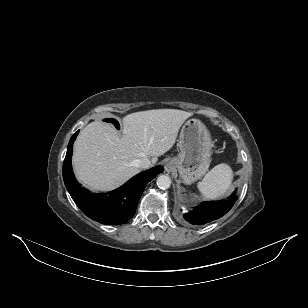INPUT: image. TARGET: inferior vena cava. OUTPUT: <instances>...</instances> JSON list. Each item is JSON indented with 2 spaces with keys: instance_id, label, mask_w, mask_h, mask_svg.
<instances>
[{
  "instance_id": "602c4592",
  "label": "inferior vena cava",
  "mask_w": 308,
  "mask_h": 308,
  "mask_svg": "<svg viewBox=\"0 0 308 308\" xmlns=\"http://www.w3.org/2000/svg\"><path fill=\"white\" fill-rule=\"evenodd\" d=\"M151 165V161L149 160V158H141L135 161V166L140 168V169H147L149 168Z\"/></svg>"
}]
</instances>
